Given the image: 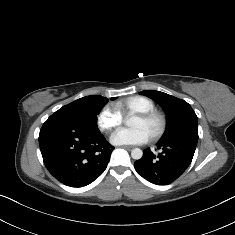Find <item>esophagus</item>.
Segmentation results:
<instances>
[{
  "label": "esophagus",
  "mask_w": 235,
  "mask_h": 235,
  "mask_svg": "<svg viewBox=\"0 0 235 235\" xmlns=\"http://www.w3.org/2000/svg\"><path fill=\"white\" fill-rule=\"evenodd\" d=\"M121 148L127 149V150H131L134 147L133 146H128V145H122Z\"/></svg>",
  "instance_id": "esophagus-1"
}]
</instances>
